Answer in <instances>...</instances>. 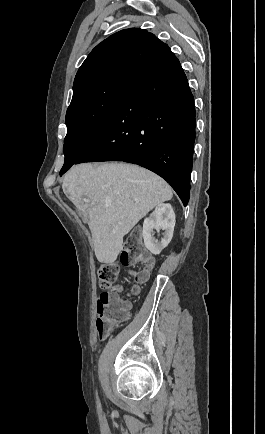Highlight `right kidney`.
I'll use <instances>...</instances> for the list:
<instances>
[{"mask_svg": "<svg viewBox=\"0 0 265 434\" xmlns=\"http://www.w3.org/2000/svg\"><path fill=\"white\" fill-rule=\"evenodd\" d=\"M175 226V214L171 204H158L150 218L143 222V240L144 244L151 254H161L164 248H167L173 238ZM164 230V238L157 242L152 236L153 230Z\"/></svg>", "mask_w": 265, "mask_h": 434, "instance_id": "right-kidney-1", "label": "right kidney"}]
</instances>
